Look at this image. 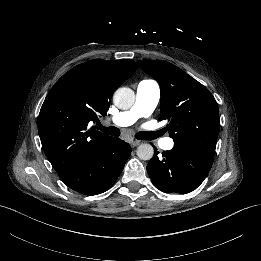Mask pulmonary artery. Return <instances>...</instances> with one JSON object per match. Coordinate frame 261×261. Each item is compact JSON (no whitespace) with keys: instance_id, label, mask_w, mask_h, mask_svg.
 Masks as SVG:
<instances>
[{"instance_id":"1","label":"pulmonary artery","mask_w":261,"mask_h":261,"mask_svg":"<svg viewBox=\"0 0 261 261\" xmlns=\"http://www.w3.org/2000/svg\"><path fill=\"white\" fill-rule=\"evenodd\" d=\"M161 97L160 86L157 82L145 79L138 83L136 100L130 111L120 112L111 118L112 122L117 126H128L136 121L139 117H145L152 114L157 107ZM157 146L166 151L175 149V142L166 137L157 139Z\"/></svg>"}]
</instances>
